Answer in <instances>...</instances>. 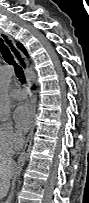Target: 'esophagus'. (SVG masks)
<instances>
[{
    "label": "esophagus",
    "mask_w": 89,
    "mask_h": 203,
    "mask_svg": "<svg viewBox=\"0 0 89 203\" xmlns=\"http://www.w3.org/2000/svg\"><path fill=\"white\" fill-rule=\"evenodd\" d=\"M0 38L3 39L4 43L9 48L10 52L12 53V55L14 56V58L16 59L18 64L26 72L29 68V63H28L27 59L25 58V56L23 55V53L17 48L14 39L3 31H0ZM27 83H28V86L31 87L32 83L29 78L27 79ZM31 103H32V108H33V112H34V117H35L36 103H37V95L35 92H32V94H31ZM34 128H35V123H34V119H33L30 133H29L27 141H26L25 149L18 159V169L22 168V166L24 165L25 160L29 154L31 144H32V135L34 132Z\"/></svg>",
    "instance_id": "obj_1"
}]
</instances>
